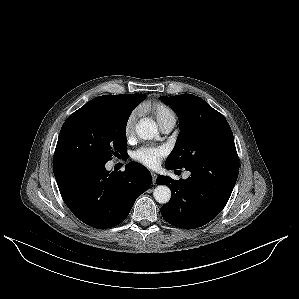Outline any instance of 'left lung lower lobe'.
<instances>
[{
    "label": "left lung lower lobe",
    "instance_id": "obj_1",
    "mask_svg": "<svg viewBox=\"0 0 299 299\" xmlns=\"http://www.w3.org/2000/svg\"><path fill=\"white\" fill-rule=\"evenodd\" d=\"M186 170L191 172L186 180L159 176L156 182L172 190V199L161 208L163 218L176 227L195 229L214 219L227 204L238 177L239 159L237 152L226 153Z\"/></svg>",
    "mask_w": 299,
    "mask_h": 299
}]
</instances>
